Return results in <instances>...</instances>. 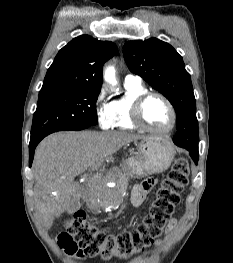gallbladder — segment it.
Masks as SVG:
<instances>
[{"label":"gallbladder","mask_w":233,"mask_h":263,"mask_svg":"<svg viewBox=\"0 0 233 263\" xmlns=\"http://www.w3.org/2000/svg\"><path fill=\"white\" fill-rule=\"evenodd\" d=\"M76 192L77 193L80 192V186H78V185H76ZM81 205H82V203L80 202V198L79 197H74L72 202L70 203V205L66 209V212L68 214H73V213L77 212L80 209Z\"/></svg>","instance_id":"bac80fb5"}]
</instances>
